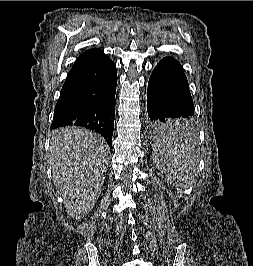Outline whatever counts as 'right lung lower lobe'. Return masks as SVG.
<instances>
[{"mask_svg": "<svg viewBox=\"0 0 253 266\" xmlns=\"http://www.w3.org/2000/svg\"><path fill=\"white\" fill-rule=\"evenodd\" d=\"M116 85V65L102 50L77 59L61 89L51 129L82 126L101 134L111 148Z\"/></svg>", "mask_w": 253, "mask_h": 266, "instance_id": "98d812e1", "label": "right lung lower lobe"}]
</instances>
